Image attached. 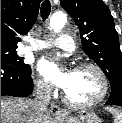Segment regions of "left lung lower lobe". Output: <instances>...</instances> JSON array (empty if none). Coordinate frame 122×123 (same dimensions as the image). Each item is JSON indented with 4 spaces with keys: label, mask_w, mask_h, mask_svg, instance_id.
Here are the masks:
<instances>
[{
    "label": "left lung lower lobe",
    "mask_w": 122,
    "mask_h": 123,
    "mask_svg": "<svg viewBox=\"0 0 122 123\" xmlns=\"http://www.w3.org/2000/svg\"><path fill=\"white\" fill-rule=\"evenodd\" d=\"M106 105H117L122 107V86H119L111 91Z\"/></svg>",
    "instance_id": "1"
}]
</instances>
